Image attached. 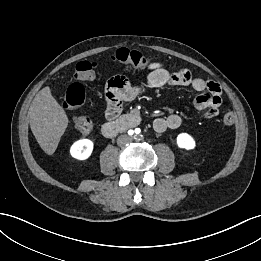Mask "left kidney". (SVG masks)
Returning a JSON list of instances; mask_svg holds the SVG:
<instances>
[{
    "label": "left kidney",
    "mask_w": 261,
    "mask_h": 261,
    "mask_svg": "<svg viewBox=\"0 0 261 261\" xmlns=\"http://www.w3.org/2000/svg\"><path fill=\"white\" fill-rule=\"evenodd\" d=\"M177 145L179 148L191 150L195 148V140L187 133H180L177 136Z\"/></svg>",
    "instance_id": "1"
}]
</instances>
